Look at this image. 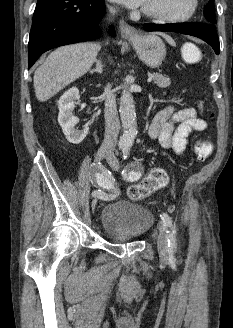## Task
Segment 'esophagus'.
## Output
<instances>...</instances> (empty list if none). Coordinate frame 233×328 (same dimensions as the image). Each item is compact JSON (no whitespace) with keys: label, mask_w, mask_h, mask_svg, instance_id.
<instances>
[{"label":"esophagus","mask_w":233,"mask_h":328,"mask_svg":"<svg viewBox=\"0 0 233 328\" xmlns=\"http://www.w3.org/2000/svg\"><path fill=\"white\" fill-rule=\"evenodd\" d=\"M120 33L124 39L133 40L138 37L136 28L126 23L123 19L119 21Z\"/></svg>","instance_id":"obj_1"}]
</instances>
